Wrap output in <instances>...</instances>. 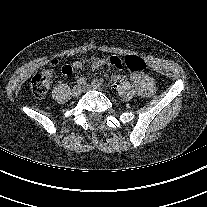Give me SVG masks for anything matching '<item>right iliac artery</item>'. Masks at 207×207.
I'll use <instances>...</instances> for the list:
<instances>
[{"mask_svg":"<svg viewBox=\"0 0 207 207\" xmlns=\"http://www.w3.org/2000/svg\"><path fill=\"white\" fill-rule=\"evenodd\" d=\"M86 81L87 79L85 77H81L80 79H78L77 83L78 85H85Z\"/></svg>","mask_w":207,"mask_h":207,"instance_id":"1","label":"right iliac artery"}]
</instances>
